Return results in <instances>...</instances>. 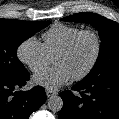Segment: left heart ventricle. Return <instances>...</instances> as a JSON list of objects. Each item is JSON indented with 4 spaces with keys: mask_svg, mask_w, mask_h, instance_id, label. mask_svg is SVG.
Segmentation results:
<instances>
[{
    "mask_svg": "<svg viewBox=\"0 0 119 119\" xmlns=\"http://www.w3.org/2000/svg\"><path fill=\"white\" fill-rule=\"evenodd\" d=\"M95 52V41L92 36H82L66 55L54 58L56 66L64 67L72 77L83 72L91 62Z\"/></svg>",
    "mask_w": 119,
    "mask_h": 119,
    "instance_id": "obj_1",
    "label": "left heart ventricle"
}]
</instances>
